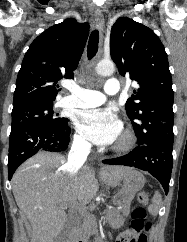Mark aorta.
<instances>
[{
  "label": "aorta",
  "mask_w": 187,
  "mask_h": 242,
  "mask_svg": "<svg viewBox=\"0 0 187 242\" xmlns=\"http://www.w3.org/2000/svg\"><path fill=\"white\" fill-rule=\"evenodd\" d=\"M114 69V64L111 61H100L96 66L97 74L102 76L111 75Z\"/></svg>",
  "instance_id": "762f6f07"
}]
</instances>
